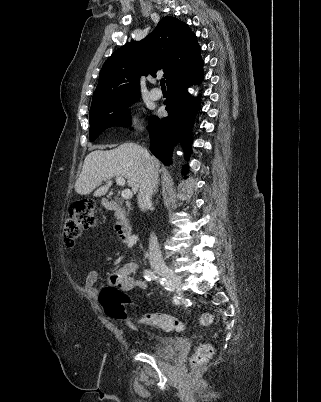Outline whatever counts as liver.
<instances>
[{
  "label": "liver",
  "mask_w": 321,
  "mask_h": 402,
  "mask_svg": "<svg viewBox=\"0 0 321 402\" xmlns=\"http://www.w3.org/2000/svg\"><path fill=\"white\" fill-rule=\"evenodd\" d=\"M158 170L159 160L151 156ZM145 170V149L135 143H124L112 150H94L90 152L83 164L79 178L75 183V191L80 195L94 192L96 197L103 196L111 186V178L125 177L127 184L136 193L139 190ZM106 182L102 186V183Z\"/></svg>",
  "instance_id": "6515ba94"
}]
</instances>
